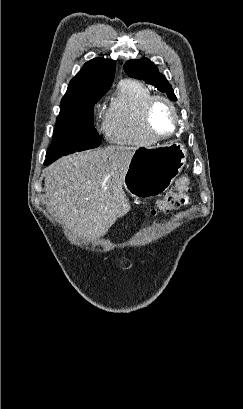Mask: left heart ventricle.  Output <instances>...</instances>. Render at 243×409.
Masks as SVG:
<instances>
[{
    "label": "left heart ventricle",
    "mask_w": 243,
    "mask_h": 409,
    "mask_svg": "<svg viewBox=\"0 0 243 409\" xmlns=\"http://www.w3.org/2000/svg\"><path fill=\"white\" fill-rule=\"evenodd\" d=\"M151 122L154 130L159 134H168L175 126L173 114L164 102H157L155 104Z\"/></svg>",
    "instance_id": "obj_1"
}]
</instances>
